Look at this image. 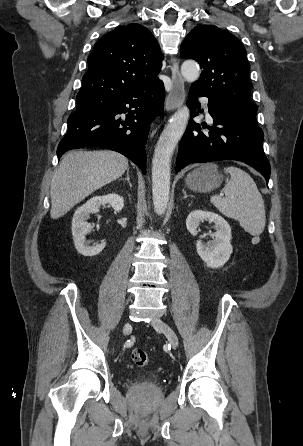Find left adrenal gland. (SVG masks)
<instances>
[{
  "label": "left adrenal gland",
  "mask_w": 303,
  "mask_h": 446,
  "mask_svg": "<svg viewBox=\"0 0 303 446\" xmlns=\"http://www.w3.org/2000/svg\"><path fill=\"white\" fill-rule=\"evenodd\" d=\"M183 194H184L183 199H185V198H187V197H192L191 195H187L185 189H183Z\"/></svg>",
  "instance_id": "1"
}]
</instances>
